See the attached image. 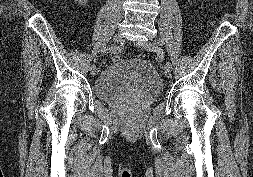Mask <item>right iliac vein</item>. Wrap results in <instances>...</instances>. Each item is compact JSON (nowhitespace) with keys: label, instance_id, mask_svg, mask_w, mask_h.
I'll return each mask as SVG.
<instances>
[{"label":"right iliac vein","instance_id":"63e3f726","mask_svg":"<svg viewBox=\"0 0 253 177\" xmlns=\"http://www.w3.org/2000/svg\"><path fill=\"white\" fill-rule=\"evenodd\" d=\"M122 41H123V38H122L121 34L117 33V34L114 35V37H113V42L114 43L119 44V43H122ZM90 71H91L92 76H96L97 73H98L97 67H96L95 70H92L90 68Z\"/></svg>","mask_w":253,"mask_h":177}]
</instances>
